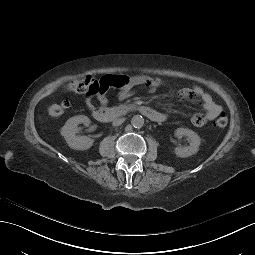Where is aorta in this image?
Listing matches in <instances>:
<instances>
[{
  "instance_id": "obj_1",
  "label": "aorta",
  "mask_w": 255,
  "mask_h": 255,
  "mask_svg": "<svg viewBox=\"0 0 255 255\" xmlns=\"http://www.w3.org/2000/svg\"><path fill=\"white\" fill-rule=\"evenodd\" d=\"M131 123L135 128H141L144 125V118L141 115H134L131 119Z\"/></svg>"
}]
</instances>
